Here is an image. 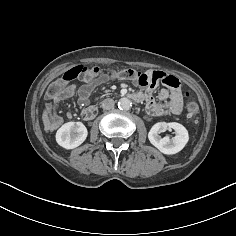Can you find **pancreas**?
I'll return each instance as SVG.
<instances>
[{"instance_id":"pancreas-1","label":"pancreas","mask_w":236,"mask_h":236,"mask_svg":"<svg viewBox=\"0 0 236 236\" xmlns=\"http://www.w3.org/2000/svg\"><path fill=\"white\" fill-rule=\"evenodd\" d=\"M109 92H111V90H105L104 93L108 94Z\"/></svg>"}]
</instances>
